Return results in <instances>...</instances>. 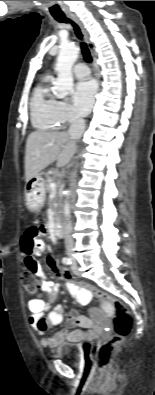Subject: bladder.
Wrapping results in <instances>:
<instances>
[{"mask_svg": "<svg viewBox=\"0 0 155 395\" xmlns=\"http://www.w3.org/2000/svg\"><path fill=\"white\" fill-rule=\"evenodd\" d=\"M52 354L55 357L64 358L70 362L78 363L83 357V350L80 346L74 343L64 341L53 348Z\"/></svg>", "mask_w": 155, "mask_h": 395, "instance_id": "31cf9c89", "label": "bladder"}]
</instances>
